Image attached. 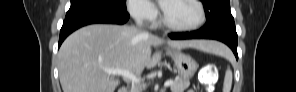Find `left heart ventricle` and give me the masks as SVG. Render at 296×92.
<instances>
[{
  "label": "left heart ventricle",
  "instance_id": "left-heart-ventricle-1",
  "mask_svg": "<svg viewBox=\"0 0 296 92\" xmlns=\"http://www.w3.org/2000/svg\"><path fill=\"white\" fill-rule=\"evenodd\" d=\"M164 3L166 17L170 23L181 27H187L197 23L199 11L191 1H166Z\"/></svg>",
  "mask_w": 296,
  "mask_h": 92
}]
</instances>
